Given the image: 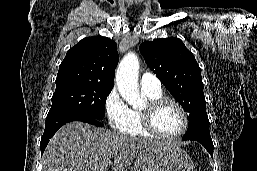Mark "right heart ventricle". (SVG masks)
Returning a JSON list of instances; mask_svg holds the SVG:
<instances>
[{
	"instance_id": "1",
	"label": "right heart ventricle",
	"mask_w": 257,
	"mask_h": 171,
	"mask_svg": "<svg viewBox=\"0 0 257 171\" xmlns=\"http://www.w3.org/2000/svg\"><path fill=\"white\" fill-rule=\"evenodd\" d=\"M141 92L147 101L162 97L161 90L154 91L141 88ZM122 132L131 136H150V134L143 128L140 109H130L127 125Z\"/></svg>"
}]
</instances>
